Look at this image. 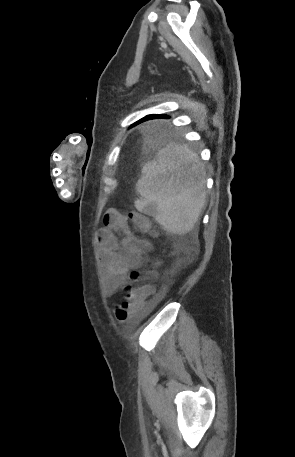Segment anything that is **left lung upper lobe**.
<instances>
[{
	"mask_svg": "<svg viewBox=\"0 0 295 457\" xmlns=\"http://www.w3.org/2000/svg\"><path fill=\"white\" fill-rule=\"evenodd\" d=\"M150 118H152V115H148V116H146V117H144V118L138 120V121L135 122L132 126L137 125V124H139V123H141V122H143V121H146V120H148V119H150Z\"/></svg>",
	"mask_w": 295,
	"mask_h": 457,
	"instance_id": "left-lung-upper-lobe-1",
	"label": "left lung upper lobe"
}]
</instances>
